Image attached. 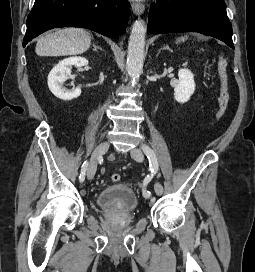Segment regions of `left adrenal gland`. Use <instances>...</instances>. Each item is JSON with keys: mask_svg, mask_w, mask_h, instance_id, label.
Instances as JSON below:
<instances>
[{"mask_svg": "<svg viewBox=\"0 0 255 272\" xmlns=\"http://www.w3.org/2000/svg\"><path fill=\"white\" fill-rule=\"evenodd\" d=\"M163 50H169L168 46H164Z\"/></svg>", "mask_w": 255, "mask_h": 272, "instance_id": "1", "label": "left adrenal gland"}]
</instances>
